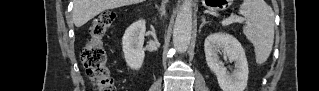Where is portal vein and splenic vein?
<instances>
[{"label":"portal vein and splenic vein","instance_id":"1","mask_svg":"<svg viewBox=\"0 0 319 91\" xmlns=\"http://www.w3.org/2000/svg\"><path fill=\"white\" fill-rule=\"evenodd\" d=\"M233 21L243 22V19L242 18H238V17H232V18H230L228 20L223 21L222 24L223 25H228V24H230Z\"/></svg>","mask_w":319,"mask_h":91}]
</instances>
